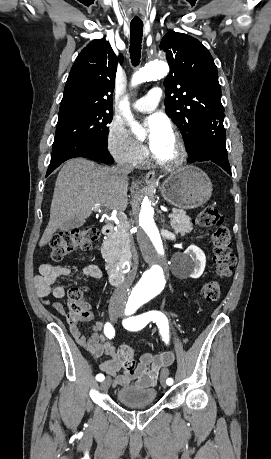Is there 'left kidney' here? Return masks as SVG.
<instances>
[{
	"label": "left kidney",
	"mask_w": 271,
	"mask_h": 459,
	"mask_svg": "<svg viewBox=\"0 0 271 459\" xmlns=\"http://www.w3.org/2000/svg\"><path fill=\"white\" fill-rule=\"evenodd\" d=\"M189 269L187 271L189 277H200L206 265V255L198 245H189L186 253Z\"/></svg>",
	"instance_id": "1"
}]
</instances>
